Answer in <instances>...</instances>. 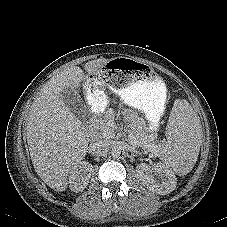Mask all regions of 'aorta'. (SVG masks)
<instances>
[{
  "label": "aorta",
  "mask_w": 227,
  "mask_h": 227,
  "mask_svg": "<svg viewBox=\"0 0 227 227\" xmlns=\"http://www.w3.org/2000/svg\"><path fill=\"white\" fill-rule=\"evenodd\" d=\"M111 155L113 158H119L121 155V150L118 147H113L111 149Z\"/></svg>",
  "instance_id": "1"
}]
</instances>
